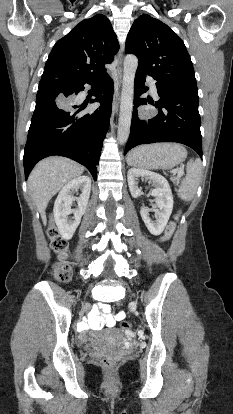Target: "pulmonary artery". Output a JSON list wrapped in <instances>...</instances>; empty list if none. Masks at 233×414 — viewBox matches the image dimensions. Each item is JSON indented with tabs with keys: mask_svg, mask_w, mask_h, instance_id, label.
Returning <instances> with one entry per match:
<instances>
[{
	"mask_svg": "<svg viewBox=\"0 0 233 414\" xmlns=\"http://www.w3.org/2000/svg\"><path fill=\"white\" fill-rule=\"evenodd\" d=\"M149 83H150V88H151V92L154 96H157V89H156V85H155V81L151 78H148Z\"/></svg>",
	"mask_w": 233,
	"mask_h": 414,
	"instance_id": "pulmonary-artery-1",
	"label": "pulmonary artery"
}]
</instances>
